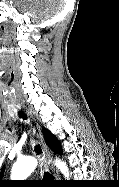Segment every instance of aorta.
<instances>
[{
	"instance_id": "aorta-1",
	"label": "aorta",
	"mask_w": 119,
	"mask_h": 187,
	"mask_svg": "<svg viewBox=\"0 0 119 187\" xmlns=\"http://www.w3.org/2000/svg\"><path fill=\"white\" fill-rule=\"evenodd\" d=\"M55 165L63 173L65 178H69V170L67 165L56 159ZM37 160L34 157H26L19 159L12 167L11 179L12 180H25L36 168Z\"/></svg>"
}]
</instances>
